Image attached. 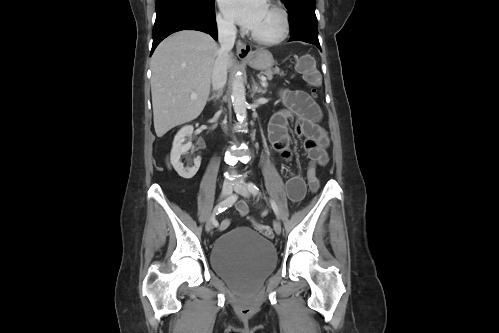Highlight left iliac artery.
Masks as SVG:
<instances>
[{
  "label": "left iliac artery",
  "instance_id": "left-iliac-artery-1",
  "mask_svg": "<svg viewBox=\"0 0 499 333\" xmlns=\"http://www.w3.org/2000/svg\"><path fill=\"white\" fill-rule=\"evenodd\" d=\"M248 190H249L252 194H254V195H257V194H259V193H260V192H259V188H258V187H257L254 183H252V182H250V183L248 184ZM270 205H271V207H272V209H273V211H274L275 215L277 216V218H279V211H278V207H277V204L275 203V201H274V200H270Z\"/></svg>",
  "mask_w": 499,
  "mask_h": 333
}]
</instances>
